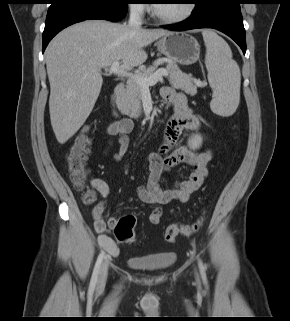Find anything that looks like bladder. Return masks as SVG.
I'll use <instances>...</instances> for the list:
<instances>
[{"label": "bladder", "mask_w": 290, "mask_h": 321, "mask_svg": "<svg viewBox=\"0 0 290 321\" xmlns=\"http://www.w3.org/2000/svg\"><path fill=\"white\" fill-rule=\"evenodd\" d=\"M175 258L176 254L173 252L149 257H129L127 264L138 270L155 272L169 268L175 261Z\"/></svg>", "instance_id": "obj_1"}]
</instances>
